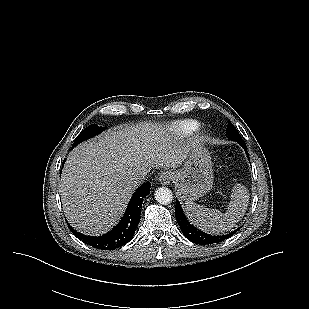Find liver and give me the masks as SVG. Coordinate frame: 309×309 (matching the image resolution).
I'll return each instance as SVG.
<instances>
[{"label":"liver","instance_id":"6515ba94","mask_svg":"<svg viewBox=\"0 0 309 309\" xmlns=\"http://www.w3.org/2000/svg\"><path fill=\"white\" fill-rule=\"evenodd\" d=\"M189 146L177 143L160 123L107 131L81 143L64 165L60 191L69 223L88 235L109 231L138 184L132 175L151 167L177 168Z\"/></svg>","mask_w":309,"mask_h":309}]
</instances>
